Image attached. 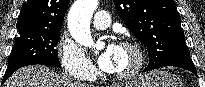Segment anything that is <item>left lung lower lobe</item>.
I'll list each match as a JSON object with an SVG mask.
<instances>
[{
	"mask_svg": "<svg viewBox=\"0 0 205 87\" xmlns=\"http://www.w3.org/2000/svg\"><path fill=\"white\" fill-rule=\"evenodd\" d=\"M164 66H174V67L183 68L193 72L196 75V69L191 60L189 53L181 54L174 57L173 59L168 61ZM148 70H152V69H148V68L144 69V71H148Z\"/></svg>",
	"mask_w": 205,
	"mask_h": 87,
	"instance_id": "left-lung-lower-lobe-1",
	"label": "left lung lower lobe"
}]
</instances>
